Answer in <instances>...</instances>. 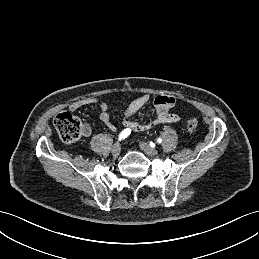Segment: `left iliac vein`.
<instances>
[{"label": "left iliac vein", "mask_w": 259, "mask_h": 259, "mask_svg": "<svg viewBox=\"0 0 259 259\" xmlns=\"http://www.w3.org/2000/svg\"><path fill=\"white\" fill-rule=\"evenodd\" d=\"M140 148L142 151L149 155V156H156L158 154V150L154 147H151L148 143L146 142H140Z\"/></svg>", "instance_id": "left-iliac-vein-1"}]
</instances>
